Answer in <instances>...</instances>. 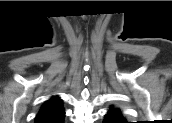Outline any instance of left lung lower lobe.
<instances>
[{
  "label": "left lung lower lobe",
  "instance_id": "1",
  "mask_svg": "<svg viewBox=\"0 0 172 123\" xmlns=\"http://www.w3.org/2000/svg\"><path fill=\"white\" fill-rule=\"evenodd\" d=\"M104 123H112V122H110V121H107V120L105 119Z\"/></svg>",
  "mask_w": 172,
  "mask_h": 123
}]
</instances>
